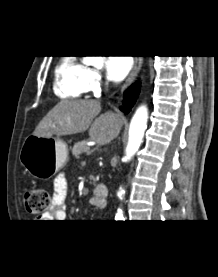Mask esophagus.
Instances as JSON below:
<instances>
[{"label":"esophagus","mask_w":218,"mask_h":277,"mask_svg":"<svg viewBox=\"0 0 218 277\" xmlns=\"http://www.w3.org/2000/svg\"><path fill=\"white\" fill-rule=\"evenodd\" d=\"M142 63H143L142 57H135V63H134L133 69L130 72L125 84L123 85L122 91H124L128 86H130L134 82L135 78L137 77L141 69Z\"/></svg>","instance_id":"1"}]
</instances>
